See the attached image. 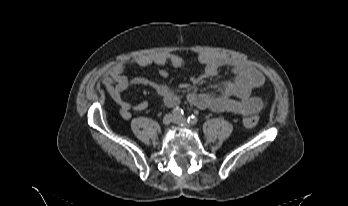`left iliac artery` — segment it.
<instances>
[{"label":"left iliac artery","mask_w":348,"mask_h":206,"mask_svg":"<svg viewBox=\"0 0 348 206\" xmlns=\"http://www.w3.org/2000/svg\"><path fill=\"white\" fill-rule=\"evenodd\" d=\"M187 121H188L189 124L195 125L197 123V121H198V118H197V116L192 114V115H190L188 117Z\"/></svg>","instance_id":"1"}]
</instances>
